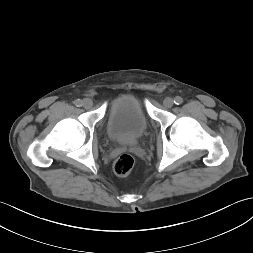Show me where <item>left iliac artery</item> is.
<instances>
[{
  "mask_svg": "<svg viewBox=\"0 0 253 253\" xmlns=\"http://www.w3.org/2000/svg\"><path fill=\"white\" fill-rule=\"evenodd\" d=\"M174 103L177 104V105L182 104L183 103L182 97H180V96L175 97L174 98Z\"/></svg>",
  "mask_w": 253,
  "mask_h": 253,
  "instance_id": "obj_1",
  "label": "left iliac artery"
}]
</instances>
